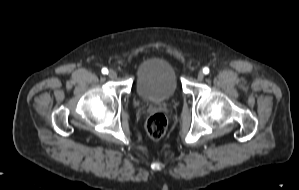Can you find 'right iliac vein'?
<instances>
[{
    "mask_svg": "<svg viewBox=\"0 0 299 190\" xmlns=\"http://www.w3.org/2000/svg\"><path fill=\"white\" fill-rule=\"evenodd\" d=\"M108 75L111 79H115L117 77V72L115 70H110Z\"/></svg>",
    "mask_w": 299,
    "mask_h": 190,
    "instance_id": "63e3f726",
    "label": "right iliac vein"
}]
</instances>
